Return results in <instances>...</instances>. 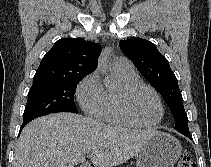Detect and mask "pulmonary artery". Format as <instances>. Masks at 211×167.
<instances>
[{
	"label": "pulmonary artery",
	"mask_w": 211,
	"mask_h": 167,
	"mask_svg": "<svg viewBox=\"0 0 211 167\" xmlns=\"http://www.w3.org/2000/svg\"><path fill=\"white\" fill-rule=\"evenodd\" d=\"M113 67L115 70L124 71V72H131L134 71V66L132 62L125 57H118L113 62Z\"/></svg>",
	"instance_id": "pulmonary-artery-1"
}]
</instances>
